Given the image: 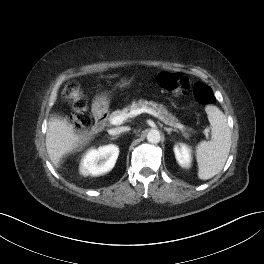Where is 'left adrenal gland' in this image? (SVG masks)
<instances>
[{"label":"left adrenal gland","instance_id":"1","mask_svg":"<svg viewBox=\"0 0 264 264\" xmlns=\"http://www.w3.org/2000/svg\"><path fill=\"white\" fill-rule=\"evenodd\" d=\"M164 130L170 135L171 132H177V129L164 127Z\"/></svg>","mask_w":264,"mask_h":264}]
</instances>
